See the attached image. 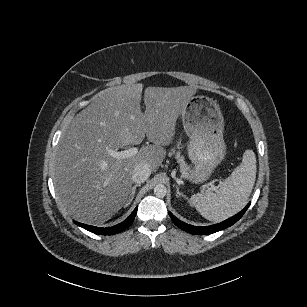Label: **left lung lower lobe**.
Returning a JSON list of instances; mask_svg holds the SVG:
<instances>
[{"label": "left lung lower lobe", "instance_id": "obj_1", "mask_svg": "<svg viewBox=\"0 0 307 307\" xmlns=\"http://www.w3.org/2000/svg\"><path fill=\"white\" fill-rule=\"evenodd\" d=\"M250 203L238 214H236L235 216L221 222L215 225H211V226H205V227H199V226H193V225H189L186 224L182 221H180L179 219H177L171 212H169V215L172 219V221L174 222V224L176 226H178L180 229L189 232L191 234H195V235H206V234H211L220 230H223L231 225H233L235 222H237L242 215L245 213V211L247 210V208L249 207Z\"/></svg>", "mask_w": 307, "mask_h": 307}]
</instances>
